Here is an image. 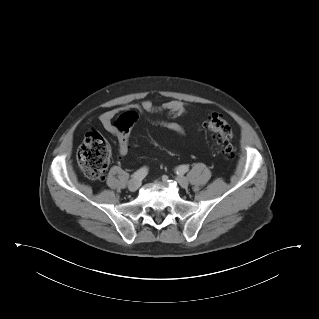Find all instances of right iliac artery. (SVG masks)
I'll list each match as a JSON object with an SVG mask.
<instances>
[{
    "label": "right iliac artery",
    "mask_w": 319,
    "mask_h": 319,
    "mask_svg": "<svg viewBox=\"0 0 319 319\" xmlns=\"http://www.w3.org/2000/svg\"><path fill=\"white\" fill-rule=\"evenodd\" d=\"M148 169L146 167H142L139 170H137L133 175V179H143L147 175Z\"/></svg>",
    "instance_id": "82829eb1"
}]
</instances>
